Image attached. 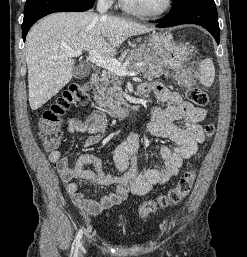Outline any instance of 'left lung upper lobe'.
<instances>
[{
	"instance_id": "obj_1",
	"label": "left lung upper lobe",
	"mask_w": 247,
	"mask_h": 257,
	"mask_svg": "<svg viewBox=\"0 0 247 257\" xmlns=\"http://www.w3.org/2000/svg\"><path fill=\"white\" fill-rule=\"evenodd\" d=\"M180 1H182V0H172L173 4H176V3L180 2Z\"/></svg>"
}]
</instances>
